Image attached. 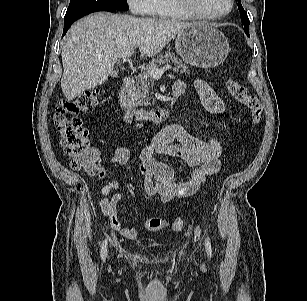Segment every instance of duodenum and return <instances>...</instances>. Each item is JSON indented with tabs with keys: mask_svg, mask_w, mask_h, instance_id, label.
<instances>
[{
	"mask_svg": "<svg viewBox=\"0 0 307 301\" xmlns=\"http://www.w3.org/2000/svg\"><path fill=\"white\" fill-rule=\"evenodd\" d=\"M133 87V77H125L119 93V101L128 114L143 123H160L167 119L174 108L176 99L183 93L181 89L173 88L171 100L167 105L153 110H143L138 108L133 100Z\"/></svg>",
	"mask_w": 307,
	"mask_h": 301,
	"instance_id": "duodenum-1",
	"label": "duodenum"
}]
</instances>
